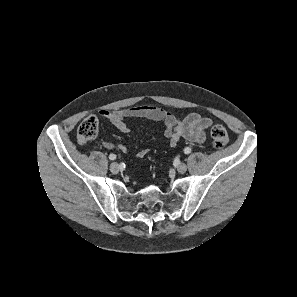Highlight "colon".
I'll return each mask as SVG.
<instances>
[{"label": "colon", "instance_id": "1", "mask_svg": "<svg viewBox=\"0 0 297 297\" xmlns=\"http://www.w3.org/2000/svg\"><path fill=\"white\" fill-rule=\"evenodd\" d=\"M99 123L95 116L85 118L79 125L77 138L80 144H85L87 141L94 139L98 135ZM210 136L215 148H224L229 141V136L226 129L219 124H215L210 129Z\"/></svg>", "mask_w": 297, "mask_h": 297}]
</instances>
